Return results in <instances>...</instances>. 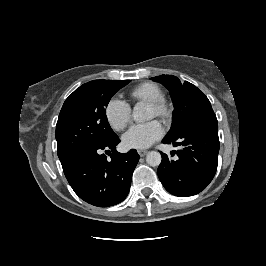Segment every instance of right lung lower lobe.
Wrapping results in <instances>:
<instances>
[{
	"mask_svg": "<svg viewBox=\"0 0 266 266\" xmlns=\"http://www.w3.org/2000/svg\"><path fill=\"white\" fill-rule=\"evenodd\" d=\"M119 142L116 135L94 149L79 151L61 162L70 186L87 203L109 207L128 195L139 155L135 149L125 154L117 152ZM102 150L109 152L110 158Z\"/></svg>",
	"mask_w": 266,
	"mask_h": 266,
	"instance_id": "right-lung-lower-lobe-1",
	"label": "right lung lower lobe"
}]
</instances>
